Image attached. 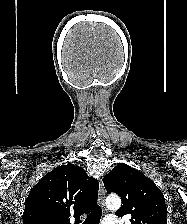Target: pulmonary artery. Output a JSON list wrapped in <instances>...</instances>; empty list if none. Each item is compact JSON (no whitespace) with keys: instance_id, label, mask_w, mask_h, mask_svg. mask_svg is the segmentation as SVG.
I'll use <instances>...</instances> for the list:
<instances>
[{"instance_id":"1","label":"pulmonary artery","mask_w":187,"mask_h":224,"mask_svg":"<svg viewBox=\"0 0 187 224\" xmlns=\"http://www.w3.org/2000/svg\"><path fill=\"white\" fill-rule=\"evenodd\" d=\"M102 224H118V221L115 217H107Z\"/></svg>"}]
</instances>
